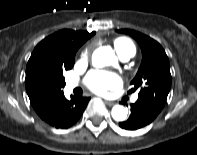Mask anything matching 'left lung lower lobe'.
I'll return each mask as SVG.
<instances>
[{"mask_svg":"<svg viewBox=\"0 0 197 155\" xmlns=\"http://www.w3.org/2000/svg\"><path fill=\"white\" fill-rule=\"evenodd\" d=\"M162 109L155 105L138 99L131 104V115L127 121L120 122L119 126L127 130L140 129L151 123Z\"/></svg>","mask_w":197,"mask_h":155,"instance_id":"left-lung-lower-lobe-1","label":"left lung lower lobe"}]
</instances>
